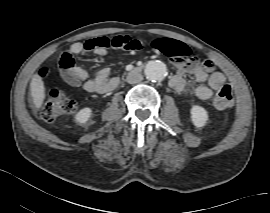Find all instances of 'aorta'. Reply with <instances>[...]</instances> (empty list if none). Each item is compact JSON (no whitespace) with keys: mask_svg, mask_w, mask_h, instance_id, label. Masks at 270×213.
<instances>
[{"mask_svg":"<svg viewBox=\"0 0 270 213\" xmlns=\"http://www.w3.org/2000/svg\"><path fill=\"white\" fill-rule=\"evenodd\" d=\"M166 66L160 61H152L145 67L146 78L151 82H161L166 77Z\"/></svg>","mask_w":270,"mask_h":213,"instance_id":"1","label":"aorta"}]
</instances>
